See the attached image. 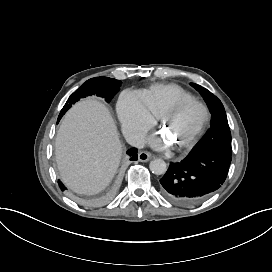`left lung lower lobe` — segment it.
<instances>
[{
    "instance_id": "1",
    "label": "left lung lower lobe",
    "mask_w": 272,
    "mask_h": 272,
    "mask_svg": "<svg viewBox=\"0 0 272 272\" xmlns=\"http://www.w3.org/2000/svg\"><path fill=\"white\" fill-rule=\"evenodd\" d=\"M230 163L231 155L222 152L189 154L181 162L170 164L160 179L159 189L175 204H196L223 184Z\"/></svg>"
}]
</instances>
